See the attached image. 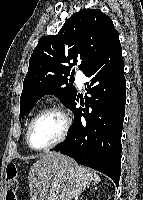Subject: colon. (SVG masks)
<instances>
[{"label":"colon","instance_id":"5ec220e1","mask_svg":"<svg viewBox=\"0 0 143 200\" xmlns=\"http://www.w3.org/2000/svg\"><path fill=\"white\" fill-rule=\"evenodd\" d=\"M18 188L17 167L10 164L6 169L5 190L6 200H16V191Z\"/></svg>","mask_w":143,"mask_h":200}]
</instances>
